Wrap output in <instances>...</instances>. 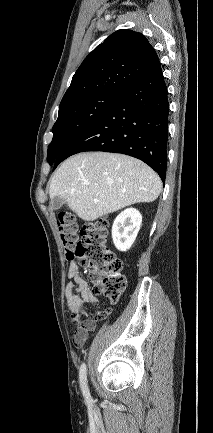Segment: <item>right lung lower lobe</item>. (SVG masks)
I'll use <instances>...</instances> for the list:
<instances>
[{
	"label": "right lung lower lobe",
	"instance_id": "1",
	"mask_svg": "<svg viewBox=\"0 0 213 433\" xmlns=\"http://www.w3.org/2000/svg\"><path fill=\"white\" fill-rule=\"evenodd\" d=\"M169 102L158 61L149 72L56 158L54 169L67 157L84 151L123 153L152 167L165 181Z\"/></svg>",
	"mask_w": 213,
	"mask_h": 433
}]
</instances>
